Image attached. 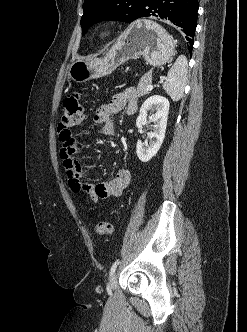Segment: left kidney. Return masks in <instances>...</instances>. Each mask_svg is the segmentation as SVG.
Masks as SVG:
<instances>
[{
  "instance_id": "1",
  "label": "left kidney",
  "mask_w": 247,
  "mask_h": 332,
  "mask_svg": "<svg viewBox=\"0 0 247 332\" xmlns=\"http://www.w3.org/2000/svg\"><path fill=\"white\" fill-rule=\"evenodd\" d=\"M152 111L154 114L147 120V112ZM169 112V101L163 96L154 95L146 99L140 108L139 116L136 119V126L142 129L149 122L154 123L153 132L147 134L149 142L143 143L138 141L136 145V153L140 161L148 162L159 151L167 126Z\"/></svg>"
}]
</instances>
